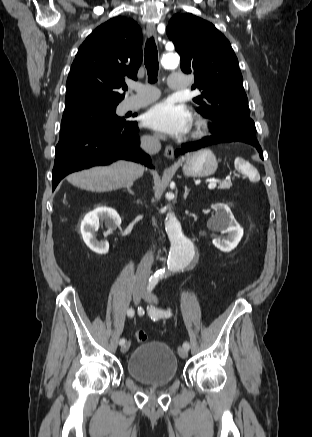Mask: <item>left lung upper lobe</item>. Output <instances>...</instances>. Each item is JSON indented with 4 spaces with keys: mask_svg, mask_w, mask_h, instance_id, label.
Segmentation results:
<instances>
[{
    "mask_svg": "<svg viewBox=\"0 0 312 437\" xmlns=\"http://www.w3.org/2000/svg\"><path fill=\"white\" fill-rule=\"evenodd\" d=\"M181 57L183 72L193 73L201 95L197 111L243 142L257 141L238 59L225 36L213 24L190 13L174 15L166 28Z\"/></svg>",
    "mask_w": 312,
    "mask_h": 437,
    "instance_id": "5c2ea615",
    "label": "left lung upper lobe"
}]
</instances>
